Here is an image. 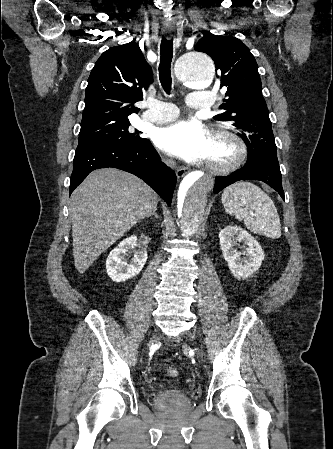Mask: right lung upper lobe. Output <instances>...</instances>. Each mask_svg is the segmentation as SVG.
Here are the masks:
<instances>
[{
    "instance_id": "obj_1",
    "label": "right lung upper lobe",
    "mask_w": 333,
    "mask_h": 449,
    "mask_svg": "<svg viewBox=\"0 0 333 449\" xmlns=\"http://www.w3.org/2000/svg\"><path fill=\"white\" fill-rule=\"evenodd\" d=\"M152 80V69L139 45L130 42L105 51L88 78L81 127L128 120L138 113L133 103Z\"/></svg>"
}]
</instances>
